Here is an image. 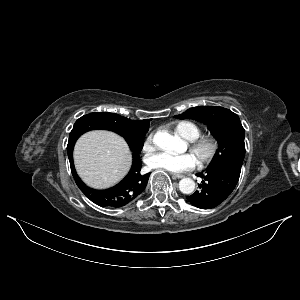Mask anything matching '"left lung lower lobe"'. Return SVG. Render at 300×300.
Listing matches in <instances>:
<instances>
[{
    "label": "left lung lower lobe",
    "mask_w": 300,
    "mask_h": 300,
    "mask_svg": "<svg viewBox=\"0 0 300 300\" xmlns=\"http://www.w3.org/2000/svg\"><path fill=\"white\" fill-rule=\"evenodd\" d=\"M241 172V165L225 162L208 168L205 174L198 173L204 178L200 190L187 197V200L201 209H211L221 204L234 190Z\"/></svg>",
    "instance_id": "left-lung-lower-lobe-1"
}]
</instances>
